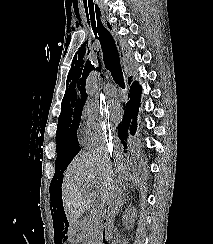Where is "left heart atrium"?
I'll return each instance as SVG.
<instances>
[{"instance_id":"obj_1","label":"left heart atrium","mask_w":213,"mask_h":244,"mask_svg":"<svg viewBox=\"0 0 213 244\" xmlns=\"http://www.w3.org/2000/svg\"><path fill=\"white\" fill-rule=\"evenodd\" d=\"M108 115L112 120H118L121 117V108L116 100H110L107 105Z\"/></svg>"}]
</instances>
